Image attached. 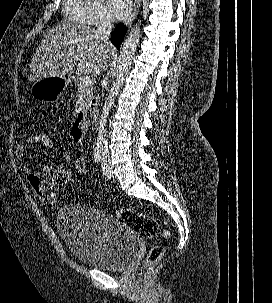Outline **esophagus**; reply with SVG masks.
<instances>
[{
    "mask_svg": "<svg viewBox=\"0 0 272 303\" xmlns=\"http://www.w3.org/2000/svg\"><path fill=\"white\" fill-rule=\"evenodd\" d=\"M140 5H141V0H135L134 1V5H133V9L132 12L130 13V15L124 20L125 24L130 23L138 14L139 9H140Z\"/></svg>",
    "mask_w": 272,
    "mask_h": 303,
    "instance_id": "1",
    "label": "esophagus"
}]
</instances>
